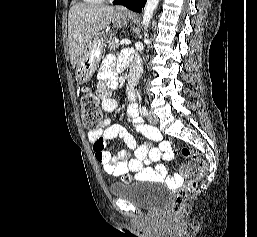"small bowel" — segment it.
<instances>
[{
    "instance_id": "1",
    "label": "small bowel",
    "mask_w": 257,
    "mask_h": 237,
    "mask_svg": "<svg viewBox=\"0 0 257 237\" xmlns=\"http://www.w3.org/2000/svg\"><path fill=\"white\" fill-rule=\"evenodd\" d=\"M122 67L123 64L117 63L113 55L106 56L101 65L96 94L101 99L102 109L107 113L115 112L118 108V102L110 97V93L117 87V71ZM127 115L132 119L137 130L148 139L156 141L158 146L152 147L148 143L137 145L123 125L113 124L110 119H104L99 129L90 131L87 135L89 142L93 145L96 160L106 173L114 177L131 172L139 180L166 181L171 186H178L182 182V177L169 175L164 164H158L153 168L149 166L161 158L166 161L172 159L169 142L158 130L143 123L135 102H130L128 105ZM117 137L125 142L128 149H122L117 155H112L108 148L110 142ZM130 151L134 155L133 158H130Z\"/></svg>"
}]
</instances>
